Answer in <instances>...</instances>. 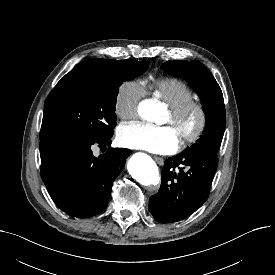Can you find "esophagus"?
Listing matches in <instances>:
<instances>
[{
    "label": "esophagus",
    "instance_id": "obj_1",
    "mask_svg": "<svg viewBox=\"0 0 275 275\" xmlns=\"http://www.w3.org/2000/svg\"><path fill=\"white\" fill-rule=\"evenodd\" d=\"M154 159L159 165L162 166L164 164V160L161 157L154 156Z\"/></svg>",
    "mask_w": 275,
    "mask_h": 275
}]
</instances>
